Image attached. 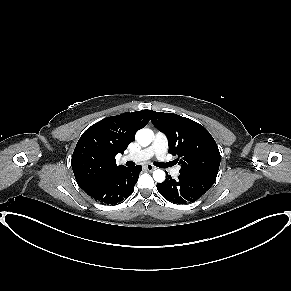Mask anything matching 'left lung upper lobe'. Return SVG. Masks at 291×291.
I'll list each match as a JSON object with an SVG mask.
<instances>
[{"label":"left lung upper lobe","mask_w":291,"mask_h":291,"mask_svg":"<svg viewBox=\"0 0 291 291\" xmlns=\"http://www.w3.org/2000/svg\"><path fill=\"white\" fill-rule=\"evenodd\" d=\"M150 116L152 124L168 138V153L179 157L180 173L217 177L219 149L202 125L174 113L152 111Z\"/></svg>","instance_id":"1"}]
</instances>
